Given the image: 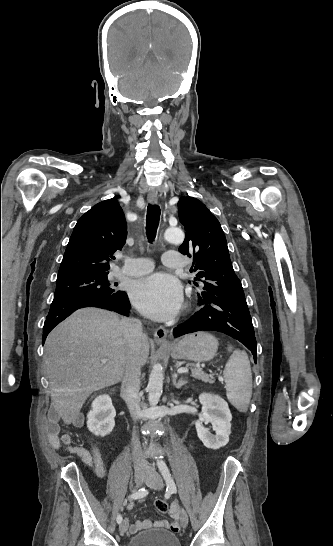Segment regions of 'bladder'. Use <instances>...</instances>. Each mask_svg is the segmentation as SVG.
<instances>
[{"label": "bladder", "instance_id": "1", "mask_svg": "<svg viewBox=\"0 0 333 546\" xmlns=\"http://www.w3.org/2000/svg\"><path fill=\"white\" fill-rule=\"evenodd\" d=\"M128 546H181L177 536L163 529H153L131 537Z\"/></svg>", "mask_w": 333, "mask_h": 546}]
</instances>
